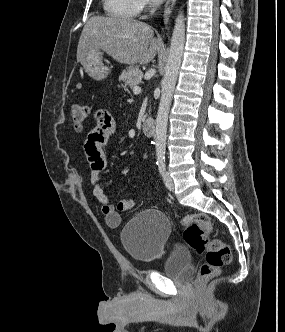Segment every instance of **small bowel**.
Masks as SVG:
<instances>
[{"label":"small bowel","instance_id":"obj_1","mask_svg":"<svg viewBox=\"0 0 285 332\" xmlns=\"http://www.w3.org/2000/svg\"><path fill=\"white\" fill-rule=\"evenodd\" d=\"M93 115H96V124L84 142V150L90 166V182L93 187V195L101 204L107 225L116 228L121 223L120 213L132 209L136 205V201L127 199L119 201L117 205L110 203L101 182V174L106 167L104 146L115 131L116 124L112 115L107 111L100 110Z\"/></svg>","mask_w":285,"mask_h":332}]
</instances>
